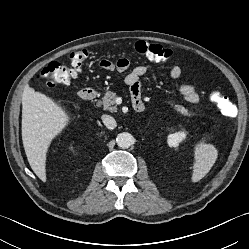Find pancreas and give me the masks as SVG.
Instances as JSON below:
<instances>
[{"instance_id":"1","label":"pancreas","mask_w":249,"mask_h":249,"mask_svg":"<svg viewBox=\"0 0 249 249\" xmlns=\"http://www.w3.org/2000/svg\"><path fill=\"white\" fill-rule=\"evenodd\" d=\"M117 95L114 92L108 91L105 93L104 97L101 101H98V106H103L104 110H109L110 112H117V108L115 106V99ZM175 110L181 113L184 116H190V113L183 106L175 105Z\"/></svg>"}]
</instances>
